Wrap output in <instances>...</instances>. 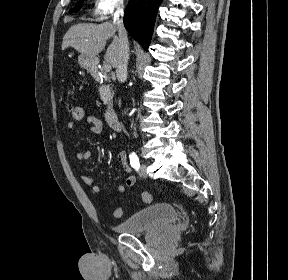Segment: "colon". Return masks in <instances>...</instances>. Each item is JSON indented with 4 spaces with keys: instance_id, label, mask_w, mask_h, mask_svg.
<instances>
[{
    "instance_id": "1",
    "label": "colon",
    "mask_w": 288,
    "mask_h": 280,
    "mask_svg": "<svg viewBox=\"0 0 288 280\" xmlns=\"http://www.w3.org/2000/svg\"><path fill=\"white\" fill-rule=\"evenodd\" d=\"M68 112L71 115V117L75 121H81L84 118L85 110L84 107L80 104L70 103L67 106ZM141 199L144 203H150L151 202V195L147 192L142 193ZM113 215L116 218H119L123 215V208L117 207L113 211Z\"/></svg>"
}]
</instances>
